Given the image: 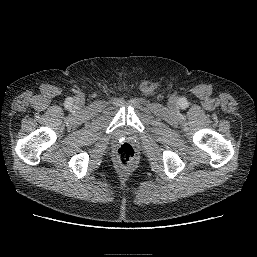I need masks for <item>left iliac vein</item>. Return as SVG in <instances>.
Returning <instances> with one entry per match:
<instances>
[{
    "instance_id": "1",
    "label": "left iliac vein",
    "mask_w": 257,
    "mask_h": 257,
    "mask_svg": "<svg viewBox=\"0 0 257 257\" xmlns=\"http://www.w3.org/2000/svg\"><path fill=\"white\" fill-rule=\"evenodd\" d=\"M169 105L171 106V107H174L175 105H176V98H171L170 100H169Z\"/></svg>"
}]
</instances>
